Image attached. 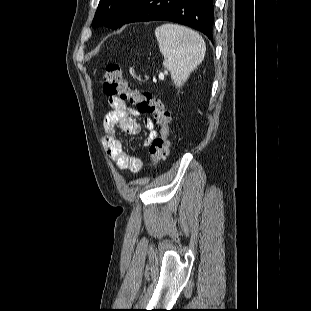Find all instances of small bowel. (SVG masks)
<instances>
[{
    "label": "small bowel",
    "mask_w": 311,
    "mask_h": 311,
    "mask_svg": "<svg viewBox=\"0 0 311 311\" xmlns=\"http://www.w3.org/2000/svg\"><path fill=\"white\" fill-rule=\"evenodd\" d=\"M108 104L111 110L105 115L103 121V140L107 153L118 168L138 172L142 168V160L139 157L129 155L125 151L121 141L117 138V130L120 129L130 135L138 134L141 130L138 117L141 114L126 101L108 98ZM143 125L147 131L144 144L148 146L157 137L158 133L155 122L151 117L144 116Z\"/></svg>",
    "instance_id": "small-bowel-1"
}]
</instances>
